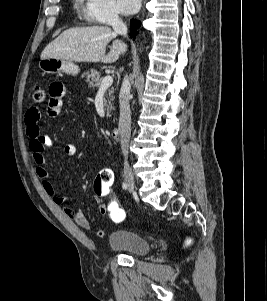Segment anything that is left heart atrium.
<instances>
[{
	"label": "left heart atrium",
	"instance_id": "obj_1",
	"mask_svg": "<svg viewBox=\"0 0 267 301\" xmlns=\"http://www.w3.org/2000/svg\"><path fill=\"white\" fill-rule=\"evenodd\" d=\"M117 6L125 15L135 13L140 7V0H117Z\"/></svg>",
	"mask_w": 267,
	"mask_h": 301
}]
</instances>
